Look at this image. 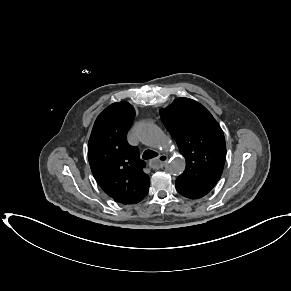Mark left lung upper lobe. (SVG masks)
Segmentation results:
<instances>
[{"instance_id": "5c2ea615", "label": "left lung upper lobe", "mask_w": 291, "mask_h": 291, "mask_svg": "<svg viewBox=\"0 0 291 291\" xmlns=\"http://www.w3.org/2000/svg\"><path fill=\"white\" fill-rule=\"evenodd\" d=\"M160 115L186 160L176 190L190 199L205 196L224 168L226 144L221 127L203 105L189 98H176Z\"/></svg>"}]
</instances>
